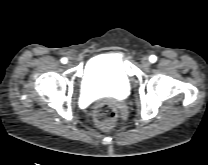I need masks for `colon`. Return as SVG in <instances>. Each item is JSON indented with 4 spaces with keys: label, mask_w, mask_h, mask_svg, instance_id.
<instances>
[{
    "label": "colon",
    "mask_w": 208,
    "mask_h": 165,
    "mask_svg": "<svg viewBox=\"0 0 208 165\" xmlns=\"http://www.w3.org/2000/svg\"><path fill=\"white\" fill-rule=\"evenodd\" d=\"M118 118L116 107L108 102L99 104L94 111V120L101 130H110L115 125Z\"/></svg>",
    "instance_id": "5ec220e1"
}]
</instances>
